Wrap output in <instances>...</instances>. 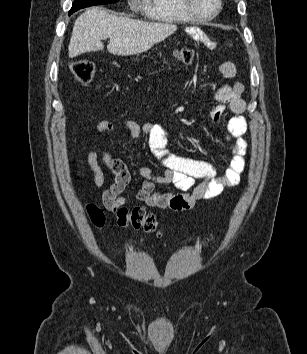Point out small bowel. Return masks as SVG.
Here are the masks:
<instances>
[{"label":"small bowel","instance_id":"obj_1","mask_svg":"<svg viewBox=\"0 0 307 354\" xmlns=\"http://www.w3.org/2000/svg\"><path fill=\"white\" fill-rule=\"evenodd\" d=\"M187 34L194 40L214 47L206 34L199 28H189ZM221 73L227 79L236 76V67L225 62L220 66ZM244 86L235 82L230 86L219 89L215 95L219 102L210 110V115L215 123L222 121L228 105L233 116L227 122L228 138L233 140L231 157L224 174L217 177L215 167L208 161L192 159L175 154L168 144L169 132L162 124H139L133 120L123 121V126L128 130L129 137L124 141L122 148L127 149L131 143L144 135L148 139L149 148L153 156L164 167L162 174H155L148 167H140L138 174L144 179L136 194L139 201L150 207L184 211L192 209L198 201L209 200L218 196L225 188H232L240 181V176L245 168V154L247 143L243 135L247 131V123L242 113L245 110V102L241 99ZM110 121H100L96 124V130L100 133L113 130ZM87 164L92 172L94 184L100 188L105 183V176L99 163V156L95 151L86 153ZM103 162L114 175V182L103 194V202L108 209L122 206L126 199L122 197L128 183L130 172L120 160L106 153ZM200 180V183H196ZM172 184L182 193H161L155 191V184Z\"/></svg>","mask_w":307,"mask_h":354}]
</instances>
